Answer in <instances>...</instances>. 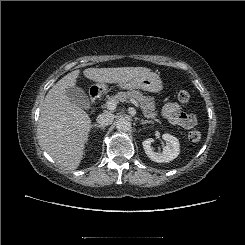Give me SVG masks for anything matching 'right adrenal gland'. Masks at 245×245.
I'll return each instance as SVG.
<instances>
[{
	"label": "right adrenal gland",
	"mask_w": 245,
	"mask_h": 245,
	"mask_svg": "<svg viewBox=\"0 0 245 245\" xmlns=\"http://www.w3.org/2000/svg\"><path fill=\"white\" fill-rule=\"evenodd\" d=\"M93 127L105 129V126H102V125H99V124H94Z\"/></svg>",
	"instance_id": "right-adrenal-gland-1"
}]
</instances>
